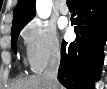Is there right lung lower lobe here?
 Returning a JSON list of instances; mask_svg holds the SVG:
<instances>
[{"instance_id": "1", "label": "right lung lower lobe", "mask_w": 107, "mask_h": 89, "mask_svg": "<svg viewBox=\"0 0 107 89\" xmlns=\"http://www.w3.org/2000/svg\"><path fill=\"white\" fill-rule=\"evenodd\" d=\"M76 40L63 41L59 82L69 89H91L99 80L107 41V0H74L71 18Z\"/></svg>"}]
</instances>
